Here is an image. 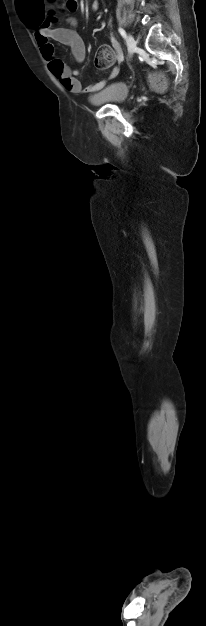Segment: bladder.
Returning a JSON list of instances; mask_svg holds the SVG:
<instances>
[{"label":"bladder","mask_w":206,"mask_h":626,"mask_svg":"<svg viewBox=\"0 0 206 626\" xmlns=\"http://www.w3.org/2000/svg\"><path fill=\"white\" fill-rule=\"evenodd\" d=\"M129 88L122 82H114L90 97L93 105H120L128 97Z\"/></svg>","instance_id":"bladder-1"}]
</instances>
